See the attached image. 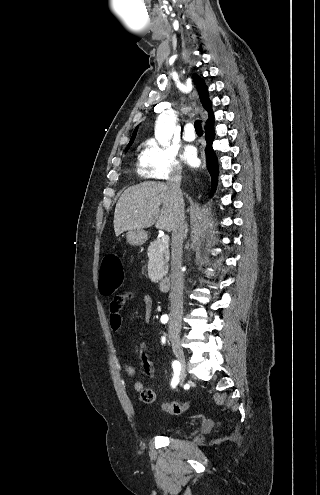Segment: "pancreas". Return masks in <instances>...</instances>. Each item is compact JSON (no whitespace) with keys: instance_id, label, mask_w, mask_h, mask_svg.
<instances>
[{"instance_id":"obj_1","label":"pancreas","mask_w":320,"mask_h":495,"mask_svg":"<svg viewBox=\"0 0 320 495\" xmlns=\"http://www.w3.org/2000/svg\"><path fill=\"white\" fill-rule=\"evenodd\" d=\"M148 276L154 283L159 282L168 272L169 268V248L164 245L161 239L154 240L150 243L147 252Z\"/></svg>"}]
</instances>
